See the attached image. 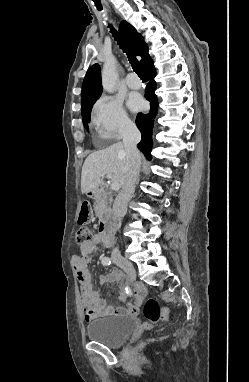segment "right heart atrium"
<instances>
[{"label":"right heart atrium","mask_w":249,"mask_h":382,"mask_svg":"<svg viewBox=\"0 0 249 382\" xmlns=\"http://www.w3.org/2000/svg\"><path fill=\"white\" fill-rule=\"evenodd\" d=\"M92 122L106 139H119L133 128L122 102L111 96H102L97 100L92 111Z\"/></svg>","instance_id":"d8ad5b80"}]
</instances>
